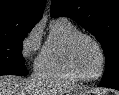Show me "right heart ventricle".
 I'll list each match as a JSON object with an SVG mask.
<instances>
[{
	"instance_id": "obj_1",
	"label": "right heart ventricle",
	"mask_w": 119,
	"mask_h": 95,
	"mask_svg": "<svg viewBox=\"0 0 119 95\" xmlns=\"http://www.w3.org/2000/svg\"><path fill=\"white\" fill-rule=\"evenodd\" d=\"M79 32L78 28L65 18L52 20L49 33L38 54L36 72L49 78L78 80L66 65L65 50L68 41Z\"/></svg>"
}]
</instances>
